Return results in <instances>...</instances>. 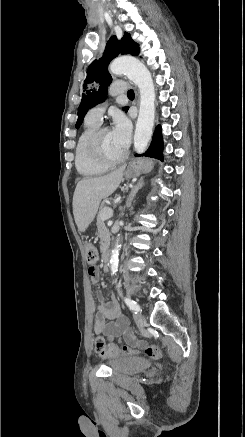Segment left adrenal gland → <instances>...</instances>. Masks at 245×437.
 <instances>
[{
  "label": "left adrenal gland",
  "mask_w": 245,
  "mask_h": 437,
  "mask_svg": "<svg viewBox=\"0 0 245 437\" xmlns=\"http://www.w3.org/2000/svg\"><path fill=\"white\" fill-rule=\"evenodd\" d=\"M143 185H144V181H143V177H141L131 189L126 200V207H130L132 205V201L134 200L137 192L143 187Z\"/></svg>",
  "instance_id": "obj_1"
}]
</instances>
